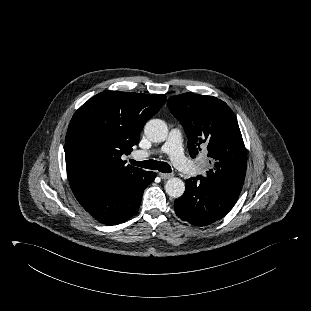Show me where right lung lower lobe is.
I'll use <instances>...</instances> for the list:
<instances>
[{"mask_svg":"<svg viewBox=\"0 0 311 311\" xmlns=\"http://www.w3.org/2000/svg\"><path fill=\"white\" fill-rule=\"evenodd\" d=\"M156 173L145 172L128 181L93 178L70 183L81 206L97 221L116 225L127 221L138 210L144 189Z\"/></svg>","mask_w":311,"mask_h":311,"instance_id":"98d812e1","label":"right lung lower lobe"}]
</instances>
